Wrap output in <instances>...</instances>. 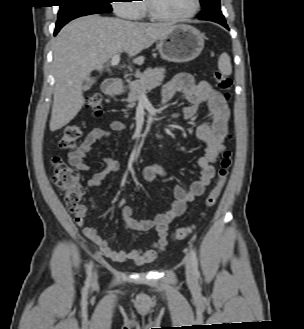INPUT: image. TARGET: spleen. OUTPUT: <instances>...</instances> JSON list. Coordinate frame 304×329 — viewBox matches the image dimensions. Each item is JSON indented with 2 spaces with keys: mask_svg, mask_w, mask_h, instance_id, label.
Wrapping results in <instances>:
<instances>
[{
  "mask_svg": "<svg viewBox=\"0 0 304 329\" xmlns=\"http://www.w3.org/2000/svg\"><path fill=\"white\" fill-rule=\"evenodd\" d=\"M218 68L224 75H230L232 73V65L230 57L227 53H222L218 60Z\"/></svg>",
  "mask_w": 304,
  "mask_h": 329,
  "instance_id": "3e777b00",
  "label": "spleen"
}]
</instances>
